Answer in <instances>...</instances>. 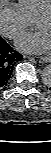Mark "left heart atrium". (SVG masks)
Wrapping results in <instances>:
<instances>
[{
    "label": "left heart atrium",
    "instance_id": "left-heart-atrium-1",
    "mask_svg": "<svg viewBox=\"0 0 51 153\" xmlns=\"http://www.w3.org/2000/svg\"><path fill=\"white\" fill-rule=\"evenodd\" d=\"M50 45L51 36L44 29L27 34L17 42L20 49L30 53H43L49 49Z\"/></svg>",
    "mask_w": 51,
    "mask_h": 153
}]
</instances>
